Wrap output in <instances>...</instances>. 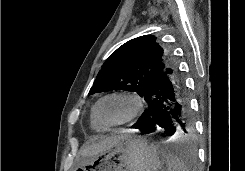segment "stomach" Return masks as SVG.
I'll return each mask as SVG.
<instances>
[{"label":"stomach","mask_w":245,"mask_h":171,"mask_svg":"<svg viewBox=\"0 0 245 171\" xmlns=\"http://www.w3.org/2000/svg\"><path fill=\"white\" fill-rule=\"evenodd\" d=\"M162 152L154 144L128 134L110 149L92 157H82L72 171H160Z\"/></svg>","instance_id":"0dacf381"}]
</instances>
